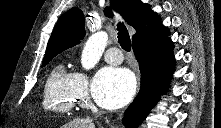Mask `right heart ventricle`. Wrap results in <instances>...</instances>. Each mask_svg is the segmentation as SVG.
I'll use <instances>...</instances> for the list:
<instances>
[{
    "instance_id": "e07e8e85",
    "label": "right heart ventricle",
    "mask_w": 221,
    "mask_h": 128,
    "mask_svg": "<svg viewBox=\"0 0 221 128\" xmlns=\"http://www.w3.org/2000/svg\"><path fill=\"white\" fill-rule=\"evenodd\" d=\"M78 101L73 88V72L63 62L56 64L49 73L45 88L43 107L54 114H69Z\"/></svg>"
}]
</instances>
